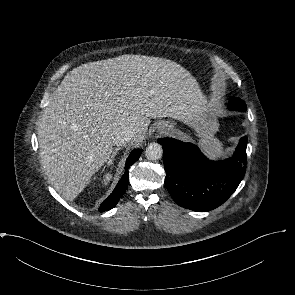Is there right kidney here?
I'll return each instance as SVG.
<instances>
[{"label":"right kidney","instance_id":"right-kidney-1","mask_svg":"<svg viewBox=\"0 0 295 295\" xmlns=\"http://www.w3.org/2000/svg\"><path fill=\"white\" fill-rule=\"evenodd\" d=\"M111 178H112V174H111V173H106V174L104 175L102 181H101V184H102L103 186H106V185L109 183V181L111 180Z\"/></svg>","mask_w":295,"mask_h":295}]
</instances>
